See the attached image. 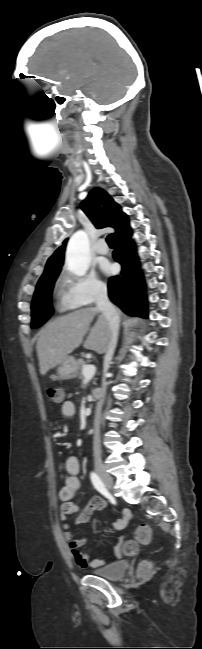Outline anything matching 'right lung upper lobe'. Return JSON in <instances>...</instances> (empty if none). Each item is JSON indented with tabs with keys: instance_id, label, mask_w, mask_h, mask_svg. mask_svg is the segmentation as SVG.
Segmentation results:
<instances>
[{
	"instance_id": "obj_1",
	"label": "right lung upper lobe",
	"mask_w": 202,
	"mask_h": 649,
	"mask_svg": "<svg viewBox=\"0 0 202 649\" xmlns=\"http://www.w3.org/2000/svg\"><path fill=\"white\" fill-rule=\"evenodd\" d=\"M81 208L96 228H114V238L130 230L128 216L122 212L120 205L114 202L108 193L99 187L89 192L87 198L82 201ZM67 240L48 259L42 276L60 272L64 262Z\"/></svg>"
}]
</instances>
